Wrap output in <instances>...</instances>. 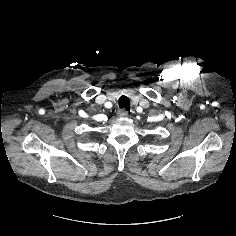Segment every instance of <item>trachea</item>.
Returning <instances> with one entry per match:
<instances>
[{
	"label": "trachea",
	"instance_id": "obj_1",
	"mask_svg": "<svg viewBox=\"0 0 236 236\" xmlns=\"http://www.w3.org/2000/svg\"><path fill=\"white\" fill-rule=\"evenodd\" d=\"M119 107L126 108L127 110L130 109V100L127 96H121L119 98Z\"/></svg>",
	"mask_w": 236,
	"mask_h": 236
}]
</instances>
